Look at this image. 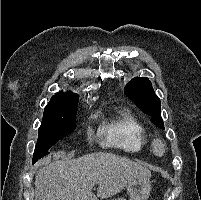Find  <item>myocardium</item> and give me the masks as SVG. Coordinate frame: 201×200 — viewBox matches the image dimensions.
<instances>
[{"label":"myocardium","mask_w":201,"mask_h":200,"mask_svg":"<svg viewBox=\"0 0 201 200\" xmlns=\"http://www.w3.org/2000/svg\"><path fill=\"white\" fill-rule=\"evenodd\" d=\"M152 147H153L154 153L159 156L163 155L166 151V145L164 141L160 139L154 140L152 143Z\"/></svg>","instance_id":"obj_1"}]
</instances>
